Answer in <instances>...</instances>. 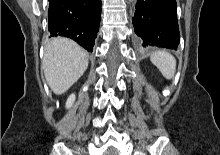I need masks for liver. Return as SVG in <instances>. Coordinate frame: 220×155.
I'll list each match as a JSON object with an SVG mask.
<instances>
[{
    "label": "liver",
    "instance_id": "1",
    "mask_svg": "<svg viewBox=\"0 0 220 155\" xmlns=\"http://www.w3.org/2000/svg\"><path fill=\"white\" fill-rule=\"evenodd\" d=\"M88 53L68 38H53L45 46L42 68L51 90L65 93L86 71Z\"/></svg>",
    "mask_w": 220,
    "mask_h": 155
}]
</instances>
